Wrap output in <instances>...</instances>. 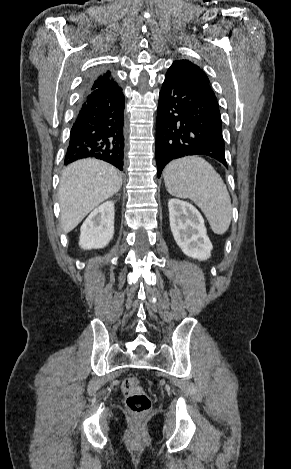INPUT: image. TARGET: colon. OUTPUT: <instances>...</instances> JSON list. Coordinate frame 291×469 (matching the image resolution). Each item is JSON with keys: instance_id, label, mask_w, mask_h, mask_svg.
Segmentation results:
<instances>
[{"instance_id": "1", "label": "colon", "mask_w": 291, "mask_h": 469, "mask_svg": "<svg viewBox=\"0 0 291 469\" xmlns=\"http://www.w3.org/2000/svg\"><path fill=\"white\" fill-rule=\"evenodd\" d=\"M128 411L135 416L146 415L152 407V400L135 376L126 377L121 385Z\"/></svg>"}]
</instances>
